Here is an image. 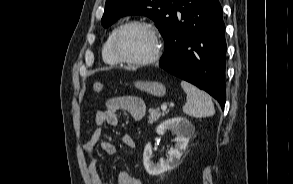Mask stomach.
<instances>
[{"mask_svg": "<svg viewBox=\"0 0 293 184\" xmlns=\"http://www.w3.org/2000/svg\"><path fill=\"white\" fill-rule=\"evenodd\" d=\"M135 87L151 95L162 97L166 93V88L162 83L150 81H137Z\"/></svg>", "mask_w": 293, "mask_h": 184, "instance_id": "0dacf381", "label": "stomach"}]
</instances>
